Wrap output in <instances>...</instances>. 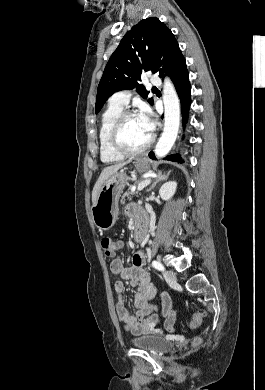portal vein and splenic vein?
<instances>
[{"label": "portal vein and splenic vein", "mask_w": 265, "mask_h": 390, "mask_svg": "<svg viewBox=\"0 0 265 390\" xmlns=\"http://www.w3.org/2000/svg\"><path fill=\"white\" fill-rule=\"evenodd\" d=\"M150 182H151V179H150V178H149V179H146V180H143L142 182H140V183L138 184L137 190H138V191L143 190L146 186H148V185L150 184ZM132 190L134 191L135 189H132Z\"/></svg>", "instance_id": "portal-vein-and-splenic-vein-1"}]
</instances>
